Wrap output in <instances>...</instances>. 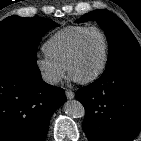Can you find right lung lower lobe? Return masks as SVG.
<instances>
[{
    "instance_id": "obj_1",
    "label": "right lung lower lobe",
    "mask_w": 141,
    "mask_h": 141,
    "mask_svg": "<svg viewBox=\"0 0 141 141\" xmlns=\"http://www.w3.org/2000/svg\"><path fill=\"white\" fill-rule=\"evenodd\" d=\"M64 90L46 84L37 65H0V141H44Z\"/></svg>"
}]
</instances>
